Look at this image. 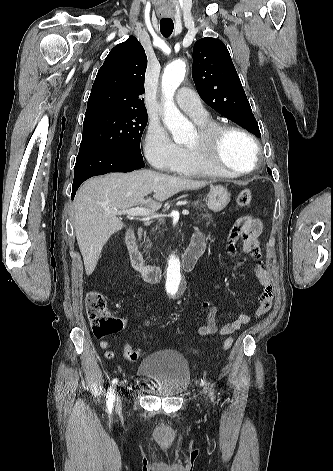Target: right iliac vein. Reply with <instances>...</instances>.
<instances>
[{"label":"right iliac vein","instance_id":"right-iliac-vein-1","mask_svg":"<svg viewBox=\"0 0 333 471\" xmlns=\"http://www.w3.org/2000/svg\"><path fill=\"white\" fill-rule=\"evenodd\" d=\"M120 403H121V402H120V398L117 397V398H116V407H119V406H120Z\"/></svg>","mask_w":333,"mask_h":471}]
</instances>
